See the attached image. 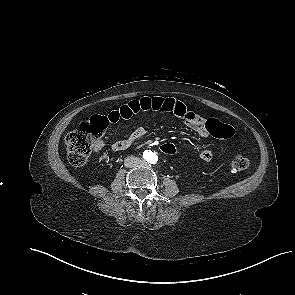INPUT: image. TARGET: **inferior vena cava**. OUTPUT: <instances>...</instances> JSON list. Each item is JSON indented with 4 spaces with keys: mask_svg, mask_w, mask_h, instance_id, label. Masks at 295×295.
<instances>
[{
    "mask_svg": "<svg viewBox=\"0 0 295 295\" xmlns=\"http://www.w3.org/2000/svg\"><path fill=\"white\" fill-rule=\"evenodd\" d=\"M141 160L138 157L130 156L125 159L124 165L128 168L136 167L140 164Z\"/></svg>",
    "mask_w": 295,
    "mask_h": 295,
    "instance_id": "obj_1",
    "label": "inferior vena cava"
}]
</instances>
